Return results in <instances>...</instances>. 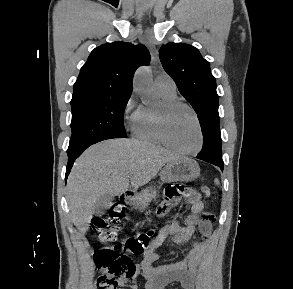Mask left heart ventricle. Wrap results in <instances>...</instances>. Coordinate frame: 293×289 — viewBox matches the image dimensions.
Listing matches in <instances>:
<instances>
[{
  "instance_id": "left-heart-ventricle-1",
  "label": "left heart ventricle",
  "mask_w": 293,
  "mask_h": 289,
  "mask_svg": "<svg viewBox=\"0 0 293 289\" xmlns=\"http://www.w3.org/2000/svg\"><path fill=\"white\" fill-rule=\"evenodd\" d=\"M167 134L179 149L193 150L198 144V129L191 112L183 107L172 111L167 118Z\"/></svg>"
}]
</instances>
